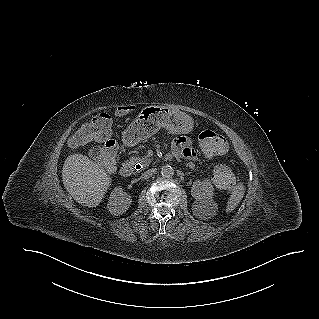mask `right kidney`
Masks as SVG:
<instances>
[{
  "label": "right kidney",
  "mask_w": 319,
  "mask_h": 319,
  "mask_svg": "<svg viewBox=\"0 0 319 319\" xmlns=\"http://www.w3.org/2000/svg\"><path fill=\"white\" fill-rule=\"evenodd\" d=\"M131 196L123 192L122 188L116 187L110 195L108 210L111 214L122 215L131 204Z\"/></svg>",
  "instance_id": "ca27d5eb"
}]
</instances>
